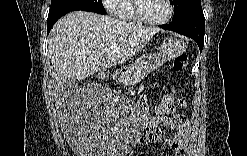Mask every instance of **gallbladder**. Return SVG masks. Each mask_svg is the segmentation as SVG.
I'll list each match as a JSON object with an SVG mask.
<instances>
[{
    "label": "gallbladder",
    "mask_w": 247,
    "mask_h": 156,
    "mask_svg": "<svg viewBox=\"0 0 247 156\" xmlns=\"http://www.w3.org/2000/svg\"><path fill=\"white\" fill-rule=\"evenodd\" d=\"M76 86V79L71 77L62 86V90H60L62 93H69L73 88Z\"/></svg>",
    "instance_id": "bac80fb5"
}]
</instances>
